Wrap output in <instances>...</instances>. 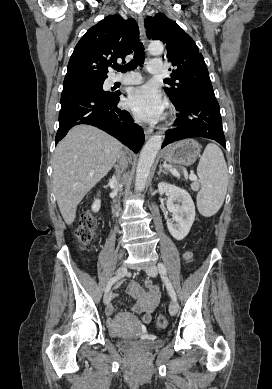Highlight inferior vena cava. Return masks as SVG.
Wrapping results in <instances>:
<instances>
[{"label": "inferior vena cava", "mask_w": 272, "mask_h": 389, "mask_svg": "<svg viewBox=\"0 0 272 389\" xmlns=\"http://www.w3.org/2000/svg\"><path fill=\"white\" fill-rule=\"evenodd\" d=\"M118 158L121 159L122 167H124V163H125V164L127 163L126 158L124 157V154L121 153L120 156H119ZM117 172L120 173L121 171L118 170ZM111 184H112L113 189H114L113 192H114V194H116L117 191H118V177H117V176H114V177L112 178ZM113 212H114V209H113Z\"/></svg>", "instance_id": "602c4592"}]
</instances>
